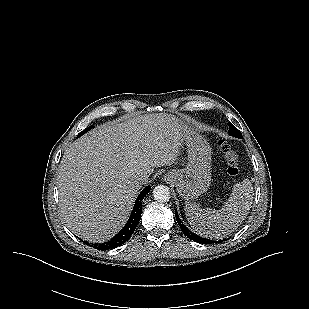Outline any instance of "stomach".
Wrapping results in <instances>:
<instances>
[{"label": "stomach", "instance_id": "1", "mask_svg": "<svg viewBox=\"0 0 309 309\" xmlns=\"http://www.w3.org/2000/svg\"><path fill=\"white\" fill-rule=\"evenodd\" d=\"M188 162L183 169H172L164 178L172 182L179 195L187 201L205 193L211 184V147L198 132L184 127Z\"/></svg>", "mask_w": 309, "mask_h": 309}]
</instances>
